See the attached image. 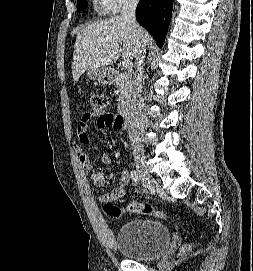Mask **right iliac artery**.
I'll use <instances>...</instances> for the list:
<instances>
[{"mask_svg": "<svg viewBox=\"0 0 253 271\" xmlns=\"http://www.w3.org/2000/svg\"><path fill=\"white\" fill-rule=\"evenodd\" d=\"M130 175H131L132 181H133L135 184H137L138 181H139L138 173H137L135 170H132V171L130 172Z\"/></svg>", "mask_w": 253, "mask_h": 271, "instance_id": "1", "label": "right iliac artery"}]
</instances>
